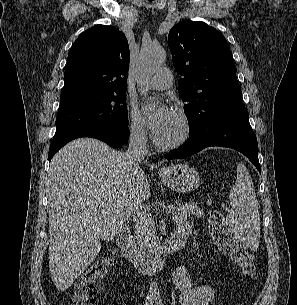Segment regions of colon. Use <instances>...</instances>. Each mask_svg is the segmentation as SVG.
I'll return each mask as SVG.
<instances>
[{"instance_id":"5ec220e1","label":"colon","mask_w":297,"mask_h":305,"mask_svg":"<svg viewBox=\"0 0 297 305\" xmlns=\"http://www.w3.org/2000/svg\"><path fill=\"white\" fill-rule=\"evenodd\" d=\"M208 232L219 251L237 265L249 278L257 275L254 255L244 247L228 230L224 215L212 210L208 215ZM116 262L112 251L106 252L73 284L69 305H93L96 301V282L103 279Z\"/></svg>"}]
</instances>
